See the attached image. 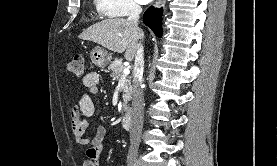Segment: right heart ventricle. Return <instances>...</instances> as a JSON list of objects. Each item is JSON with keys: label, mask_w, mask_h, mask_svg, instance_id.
I'll use <instances>...</instances> for the list:
<instances>
[{"label": "right heart ventricle", "mask_w": 277, "mask_h": 166, "mask_svg": "<svg viewBox=\"0 0 277 166\" xmlns=\"http://www.w3.org/2000/svg\"><path fill=\"white\" fill-rule=\"evenodd\" d=\"M94 5H95L96 10H97V12L99 13V15L105 16V17H110V16H111L108 12H106V11L102 8V6H101V1H100V0H94Z\"/></svg>", "instance_id": "obj_1"}]
</instances>
